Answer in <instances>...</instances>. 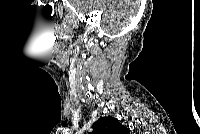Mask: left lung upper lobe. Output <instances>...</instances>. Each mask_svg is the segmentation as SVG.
<instances>
[{
    "label": "left lung upper lobe",
    "instance_id": "obj_1",
    "mask_svg": "<svg viewBox=\"0 0 200 134\" xmlns=\"http://www.w3.org/2000/svg\"><path fill=\"white\" fill-rule=\"evenodd\" d=\"M92 134H129V129L113 117H101L94 123Z\"/></svg>",
    "mask_w": 200,
    "mask_h": 134
}]
</instances>
